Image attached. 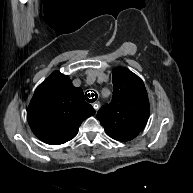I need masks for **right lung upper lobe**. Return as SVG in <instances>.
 I'll list each match as a JSON object with an SVG mask.
<instances>
[{"label": "right lung upper lobe", "instance_id": "obj_1", "mask_svg": "<svg viewBox=\"0 0 193 193\" xmlns=\"http://www.w3.org/2000/svg\"><path fill=\"white\" fill-rule=\"evenodd\" d=\"M95 114L86 103L83 91L59 71L53 72L36 89L27 110L34 134L51 145L63 144L74 138L86 118Z\"/></svg>", "mask_w": 193, "mask_h": 193}]
</instances>
